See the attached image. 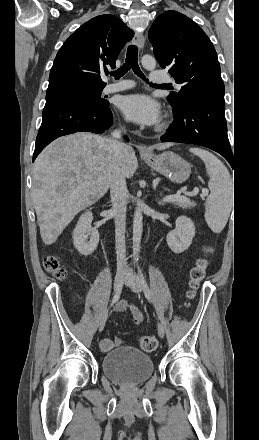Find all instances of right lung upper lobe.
Masks as SVG:
<instances>
[{"label":"right lung upper lobe","mask_w":259,"mask_h":440,"mask_svg":"<svg viewBox=\"0 0 259 440\" xmlns=\"http://www.w3.org/2000/svg\"><path fill=\"white\" fill-rule=\"evenodd\" d=\"M133 35L114 15H100L84 23L58 51L46 94L75 87L104 88L102 70L107 65L115 67L117 56Z\"/></svg>","instance_id":"right-lung-upper-lobe-1"}]
</instances>
